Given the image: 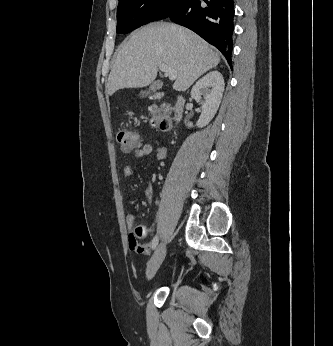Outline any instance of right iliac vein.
<instances>
[{
	"label": "right iliac vein",
	"mask_w": 333,
	"mask_h": 346,
	"mask_svg": "<svg viewBox=\"0 0 333 346\" xmlns=\"http://www.w3.org/2000/svg\"><path fill=\"white\" fill-rule=\"evenodd\" d=\"M165 256H166V243L163 241L158 245L154 254L152 255L151 259L148 262L147 271H146L148 279H151L156 274Z\"/></svg>",
	"instance_id": "63e3f726"
}]
</instances>
